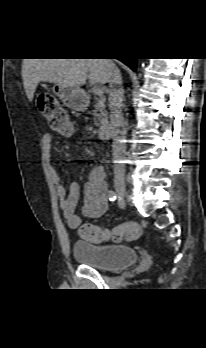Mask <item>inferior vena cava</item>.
<instances>
[{
    "label": "inferior vena cava",
    "instance_id": "obj_1",
    "mask_svg": "<svg viewBox=\"0 0 206 348\" xmlns=\"http://www.w3.org/2000/svg\"><path fill=\"white\" fill-rule=\"evenodd\" d=\"M109 67V109L111 120V132L113 139V159L115 161H121L125 158L126 146L124 144L125 139V126L122 113V104L124 91L122 87V77L120 70L112 62L111 59H105ZM123 170V166L121 167Z\"/></svg>",
    "mask_w": 206,
    "mask_h": 348
}]
</instances>
